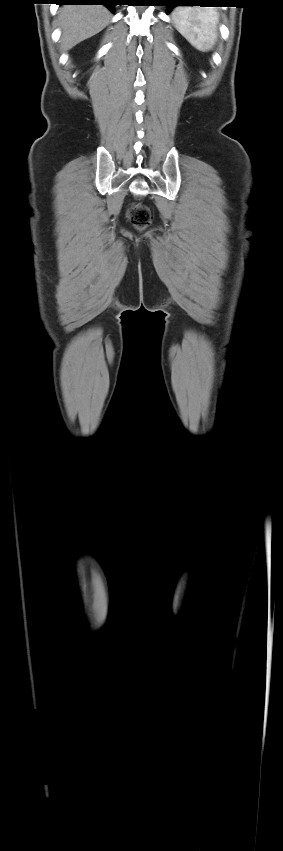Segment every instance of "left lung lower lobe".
Wrapping results in <instances>:
<instances>
[{
  "label": "left lung lower lobe",
  "instance_id": "obj_1",
  "mask_svg": "<svg viewBox=\"0 0 283 851\" xmlns=\"http://www.w3.org/2000/svg\"><path fill=\"white\" fill-rule=\"evenodd\" d=\"M222 0H164V6H168L169 13L175 6H213L222 3Z\"/></svg>",
  "mask_w": 283,
  "mask_h": 851
}]
</instances>
